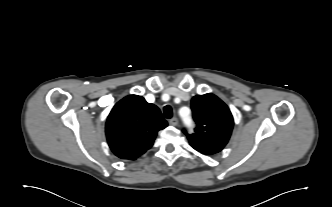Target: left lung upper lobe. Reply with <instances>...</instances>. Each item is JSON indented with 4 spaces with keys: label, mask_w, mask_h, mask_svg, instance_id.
Returning <instances> with one entry per match:
<instances>
[{
    "label": "left lung upper lobe",
    "mask_w": 332,
    "mask_h": 207,
    "mask_svg": "<svg viewBox=\"0 0 332 207\" xmlns=\"http://www.w3.org/2000/svg\"><path fill=\"white\" fill-rule=\"evenodd\" d=\"M191 108L195 133L190 135L184 130L190 145L205 155L218 153L227 144L234 124L229 108L212 93L194 96Z\"/></svg>",
    "instance_id": "1"
}]
</instances>
